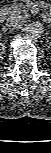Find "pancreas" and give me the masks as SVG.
Here are the masks:
<instances>
[{
	"label": "pancreas",
	"mask_w": 51,
	"mask_h": 153,
	"mask_svg": "<svg viewBox=\"0 0 51 153\" xmlns=\"http://www.w3.org/2000/svg\"><path fill=\"white\" fill-rule=\"evenodd\" d=\"M22 13L25 15V17H28V10L22 3L13 4L8 8V14L10 16L21 15Z\"/></svg>",
	"instance_id": "pancreas-1"
}]
</instances>
